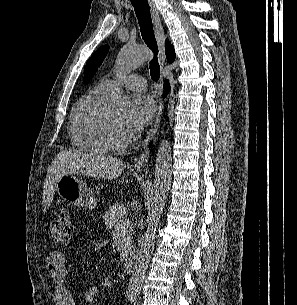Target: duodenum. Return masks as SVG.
<instances>
[{
	"mask_svg": "<svg viewBox=\"0 0 297 305\" xmlns=\"http://www.w3.org/2000/svg\"><path fill=\"white\" fill-rule=\"evenodd\" d=\"M135 255L133 252H130L125 255L123 259V270L125 273H130L134 265Z\"/></svg>",
	"mask_w": 297,
	"mask_h": 305,
	"instance_id": "obj_1",
	"label": "duodenum"
}]
</instances>
